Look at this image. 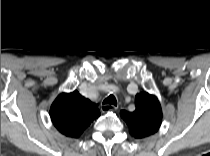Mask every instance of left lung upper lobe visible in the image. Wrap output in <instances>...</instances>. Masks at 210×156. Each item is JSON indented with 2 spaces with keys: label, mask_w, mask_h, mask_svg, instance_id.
Here are the masks:
<instances>
[{
  "label": "left lung upper lobe",
  "mask_w": 210,
  "mask_h": 156,
  "mask_svg": "<svg viewBox=\"0 0 210 156\" xmlns=\"http://www.w3.org/2000/svg\"><path fill=\"white\" fill-rule=\"evenodd\" d=\"M135 106L134 112H120L132 136L142 139L157 132L162 121V110L156 96L146 92L139 93L135 97Z\"/></svg>",
  "instance_id": "obj_1"
}]
</instances>
